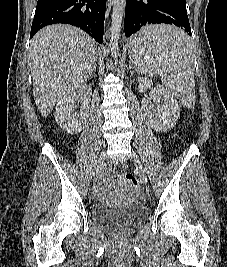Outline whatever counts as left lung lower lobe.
I'll use <instances>...</instances> for the list:
<instances>
[{"instance_id":"1","label":"left lung lower lobe","mask_w":227,"mask_h":267,"mask_svg":"<svg viewBox=\"0 0 227 267\" xmlns=\"http://www.w3.org/2000/svg\"><path fill=\"white\" fill-rule=\"evenodd\" d=\"M160 23L179 26L191 35L185 0H127L124 20L126 37L132 36L145 25ZM135 35L131 37V42L138 43ZM179 43L170 39L161 41L159 45L169 48Z\"/></svg>"}]
</instances>
